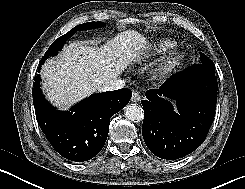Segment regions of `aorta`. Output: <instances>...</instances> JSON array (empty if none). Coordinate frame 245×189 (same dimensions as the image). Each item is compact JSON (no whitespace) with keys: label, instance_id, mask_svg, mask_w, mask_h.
Segmentation results:
<instances>
[{"label":"aorta","instance_id":"obj_1","mask_svg":"<svg viewBox=\"0 0 245 189\" xmlns=\"http://www.w3.org/2000/svg\"><path fill=\"white\" fill-rule=\"evenodd\" d=\"M125 116L133 122H140L144 117V112L141 106L129 104L125 108Z\"/></svg>","mask_w":245,"mask_h":189}]
</instances>
